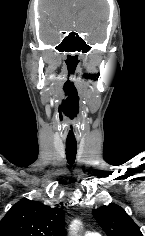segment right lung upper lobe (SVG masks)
<instances>
[{
	"label": "right lung upper lobe",
	"mask_w": 145,
	"mask_h": 236,
	"mask_svg": "<svg viewBox=\"0 0 145 236\" xmlns=\"http://www.w3.org/2000/svg\"><path fill=\"white\" fill-rule=\"evenodd\" d=\"M64 211L23 199L0 221V236H65Z\"/></svg>",
	"instance_id": "cb5924a9"
}]
</instances>
